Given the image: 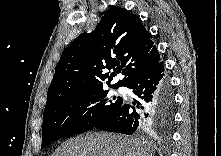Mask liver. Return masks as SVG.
Segmentation results:
<instances>
[{
  "label": "liver",
  "mask_w": 221,
  "mask_h": 156,
  "mask_svg": "<svg viewBox=\"0 0 221 156\" xmlns=\"http://www.w3.org/2000/svg\"><path fill=\"white\" fill-rule=\"evenodd\" d=\"M156 147L148 141L112 133H94L62 144L56 156H153Z\"/></svg>",
  "instance_id": "liver-1"
}]
</instances>
